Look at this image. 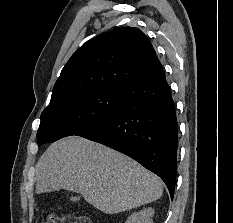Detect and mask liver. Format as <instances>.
Wrapping results in <instances>:
<instances>
[{
    "label": "liver",
    "mask_w": 233,
    "mask_h": 223,
    "mask_svg": "<svg viewBox=\"0 0 233 223\" xmlns=\"http://www.w3.org/2000/svg\"><path fill=\"white\" fill-rule=\"evenodd\" d=\"M36 193L69 189L103 213H119L159 199L161 179L143 165L85 137L51 143L35 169Z\"/></svg>",
    "instance_id": "1"
}]
</instances>
